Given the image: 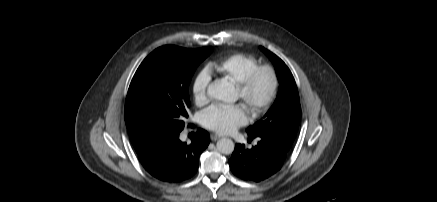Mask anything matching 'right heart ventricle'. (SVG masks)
Here are the masks:
<instances>
[{"instance_id":"obj_1","label":"right heart ventricle","mask_w":437,"mask_h":202,"mask_svg":"<svg viewBox=\"0 0 437 202\" xmlns=\"http://www.w3.org/2000/svg\"><path fill=\"white\" fill-rule=\"evenodd\" d=\"M256 66H258V62L253 56L234 53L210 62L207 69L238 83Z\"/></svg>"}]
</instances>
